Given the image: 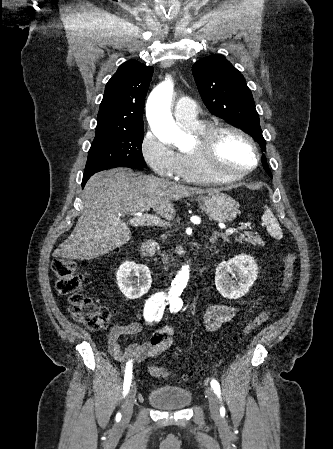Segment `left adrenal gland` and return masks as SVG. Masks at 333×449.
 Wrapping results in <instances>:
<instances>
[{
  "instance_id": "left-adrenal-gland-1",
  "label": "left adrenal gland",
  "mask_w": 333,
  "mask_h": 449,
  "mask_svg": "<svg viewBox=\"0 0 333 449\" xmlns=\"http://www.w3.org/2000/svg\"><path fill=\"white\" fill-rule=\"evenodd\" d=\"M218 237H222L224 241H227V237L225 235L220 234L219 232H214L210 238V242L214 243Z\"/></svg>"
}]
</instances>
